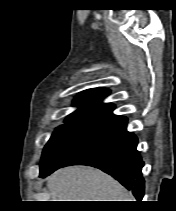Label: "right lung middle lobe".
Returning <instances> with one entry per match:
<instances>
[{
    "label": "right lung middle lobe",
    "mask_w": 176,
    "mask_h": 211,
    "mask_svg": "<svg viewBox=\"0 0 176 211\" xmlns=\"http://www.w3.org/2000/svg\"><path fill=\"white\" fill-rule=\"evenodd\" d=\"M95 123H84L66 119L65 124L58 127L46 144L40 168L50 165L64 150L83 137Z\"/></svg>",
    "instance_id": "obj_1"
}]
</instances>
